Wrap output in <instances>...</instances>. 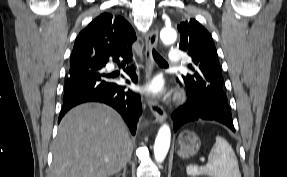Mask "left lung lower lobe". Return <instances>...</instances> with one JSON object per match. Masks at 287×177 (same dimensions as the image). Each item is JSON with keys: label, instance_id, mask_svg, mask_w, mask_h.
<instances>
[{"label": "left lung lower lobe", "instance_id": "obj_1", "mask_svg": "<svg viewBox=\"0 0 287 177\" xmlns=\"http://www.w3.org/2000/svg\"><path fill=\"white\" fill-rule=\"evenodd\" d=\"M188 101L180 106L173 114L174 130L177 131L183 124L197 120H216L235 131L227 97L223 91L212 89L209 95H199L194 89L186 85ZM201 97V98H200Z\"/></svg>", "mask_w": 287, "mask_h": 177}]
</instances>
